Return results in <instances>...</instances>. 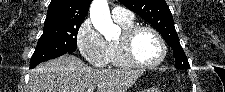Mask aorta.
<instances>
[{
  "mask_svg": "<svg viewBox=\"0 0 225 92\" xmlns=\"http://www.w3.org/2000/svg\"><path fill=\"white\" fill-rule=\"evenodd\" d=\"M90 19L93 26L105 37L111 40L119 28L115 25L110 16L107 0H94L90 6Z\"/></svg>",
  "mask_w": 225,
  "mask_h": 92,
  "instance_id": "obj_1",
  "label": "aorta"
}]
</instances>
